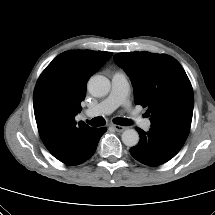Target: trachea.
<instances>
[{"mask_svg": "<svg viewBox=\"0 0 215 215\" xmlns=\"http://www.w3.org/2000/svg\"><path fill=\"white\" fill-rule=\"evenodd\" d=\"M91 126H104L105 125V120L102 117H96L93 118L90 121H87ZM115 124L122 125V126H128L131 124V120L127 118H116L114 120Z\"/></svg>", "mask_w": 215, "mask_h": 215, "instance_id": "trachea-1", "label": "trachea"}]
</instances>
